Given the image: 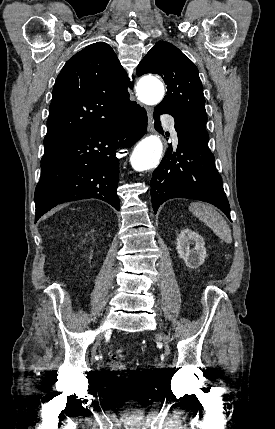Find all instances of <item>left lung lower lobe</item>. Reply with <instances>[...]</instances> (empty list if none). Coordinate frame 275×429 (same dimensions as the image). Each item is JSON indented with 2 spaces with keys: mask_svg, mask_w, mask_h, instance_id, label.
<instances>
[{
  "mask_svg": "<svg viewBox=\"0 0 275 429\" xmlns=\"http://www.w3.org/2000/svg\"><path fill=\"white\" fill-rule=\"evenodd\" d=\"M167 113L155 107V129L163 134L159 115ZM179 144L177 152L168 148L151 179V200L156 213L159 206L173 198H188L211 203L230 219V207L214 155L208 148L209 137L175 121ZM231 220V219H230Z\"/></svg>",
  "mask_w": 275,
  "mask_h": 429,
  "instance_id": "left-lung-lower-lobe-1",
  "label": "left lung lower lobe"
}]
</instances>
